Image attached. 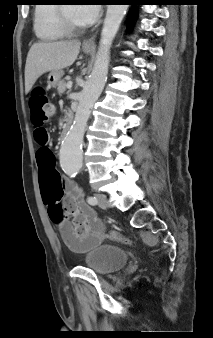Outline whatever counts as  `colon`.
<instances>
[{"mask_svg":"<svg viewBox=\"0 0 213 338\" xmlns=\"http://www.w3.org/2000/svg\"><path fill=\"white\" fill-rule=\"evenodd\" d=\"M29 106L31 112V123L35 127L34 138L36 143L41 147L38 152V158L43 162L46 157L47 145L51 142V134L44 127L46 122L52 120L55 114L54 106L49 102L47 93L44 89H35L30 98ZM43 177L46 181H50V176L47 171L44 172ZM51 214L57 223H60L64 217L63 210L60 204H54L51 207ZM108 240L120 243L130 244L131 240L127 237L117 236L113 234H106Z\"/></svg>","mask_w":213,"mask_h":338,"instance_id":"1","label":"colon"}]
</instances>
